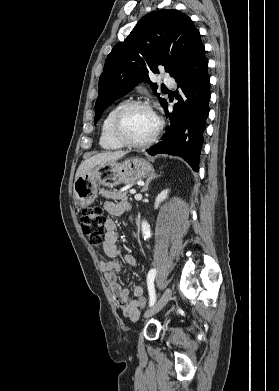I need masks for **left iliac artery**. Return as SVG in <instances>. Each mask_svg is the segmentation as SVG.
Returning <instances> with one entry per match:
<instances>
[{
	"mask_svg": "<svg viewBox=\"0 0 279 391\" xmlns=\"http://www.w3.org/2000/svg\"><path fill=\"white\" fill-rule=\"evenodd\" d=\"M156 276V269H151L147 276V286L149 291V305L153 306L156 301V294H155V288H154V279Z\"/></svg>",
	"mask_w": 279,
	"mask_h": 391,
	"instance_id": "left-iliac-artery-1",
	"label": "left iliac artery"
}]
</instances>
